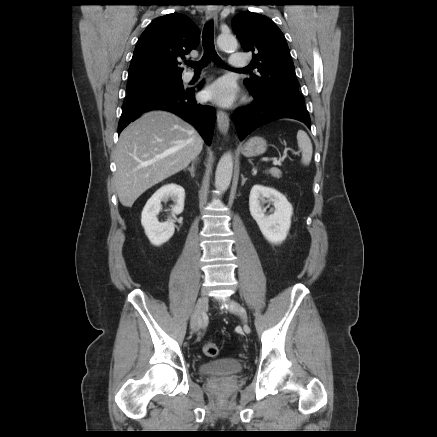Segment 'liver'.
<instances>
[{
  "mask_svg": "<svg viewBox=\"0 0 437 437\" xmlns=\"http://www.w3.org/2000/svg\"><path fill=\"white\" fill-rule=\"evenodd\" d=\"M202 148L199 133L175 114L141 115L121 132L114 151L120 203L132 207L146 190L186 168Z\"/></svg>",
  "mask_w": 437,
  "mask_h": 437,
  "instance_id": "1",
  "label": "liver"
}]
</instances>
